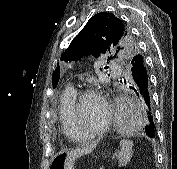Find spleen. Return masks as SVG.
Returning <instances> with one entry per match:
<instances>
[{"label":"spleen","mask_w":177,"mask_h":169,"mask_svg":"<svg viewBox=\"0 0 177 169\" xmlns=\"http://www.w3.org/2000/svg\"><path fill=\"white\" fill-rule=\"evenodd\" d=\"M121 150L118 154L119 166H126L132 157L133 142L130 140L120 141Z\"/></svg>","instance_id":"spleen-1"}]
</instances>
